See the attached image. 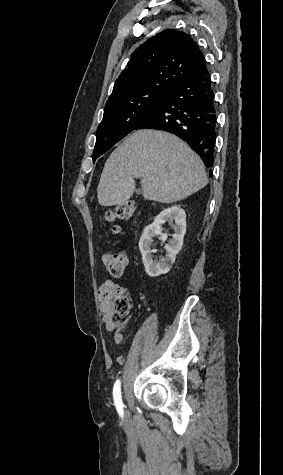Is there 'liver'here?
I'll use <instances>...</instances> for the list:
<instances>
[{
	"mask_svg": "<svg viewBox=\"0 0 283 475\" xmlns=\"http://www.w3.org/2000/svg\"><path fill=\"white\" fill-rule=\"evenodd\" d=\"M134 178H142L145 200L173 204L208 184L204 164L185 142L159 130H138L111 156L97 188L100 206H122L135 192Z\"/></svg>",
	"mask_w": 283,
	"mask_h": 475,
	"instance_id": "liver-1",
	"label": "liver"
}]
</instances>
